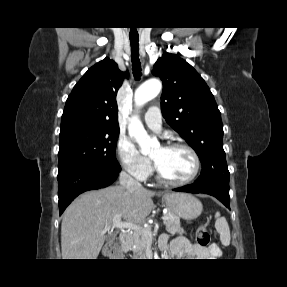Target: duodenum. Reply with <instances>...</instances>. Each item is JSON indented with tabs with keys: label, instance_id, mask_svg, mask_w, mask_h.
<instances>
[{
	"label": "duodenum",
	"instance_id": "1",
	"mask_svg": "<svg viewBox=\"0 0 287 287\" xmlns=\"http://www.w3.org/2000/svg\"><path fill=\"white\" fill-rule=\"evenodd\" d=\"M131 238H132V236H131V233L129 231H124L120 234L119 239H120V242L123 246V249H125V250L127 249L128 245L131 242Z\"/></svg>",
	"mask_w": 287,
	"mask_h": 287
}]
</instances>
